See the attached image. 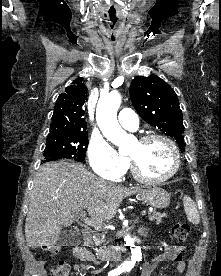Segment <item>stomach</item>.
<instances>
[{"label":"stomach","mask_w":221,"mask_h":276,"mask_svg":"<svg viewBox=\"0 0 221 276\" xmlns=\"http://www.w3.org/2000/svg\"><path fill=\"white\" fill-rule=\"evenodd\" d=\"M138 198L155 208H165L170 203V194L162 188L152 187L138 193Z\"/></svg>","instance_id":"0dacf381"}]
</instances>
